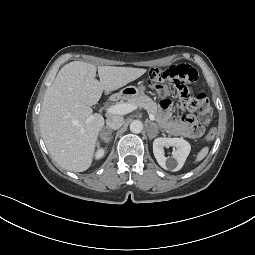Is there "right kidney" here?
<instances>
[{
  "label": "right kidney",
  "instance_id": "1",
  "mask_svg": "<svg viewBox=\"0 0 255 255\" xmlns=\"http://www.w3.org/2000/svg\"><path fill=\"white\" fill-rule=\"evenodd\" d=\"M104 153H105L104 149H102V148L98 149L96 154H95L96 159L102 158L104 156Z\"/></svg>",
  "mask_w": 255,
  "mask_h": 255
}]
</instances>
